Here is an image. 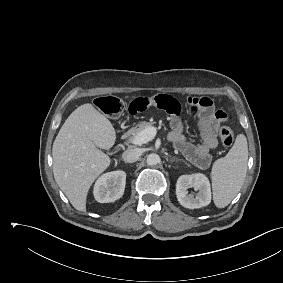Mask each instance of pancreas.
I'll return each mask as SVG.
<instances>
[{
    "label": "pancreas",
    "instance_id": "pancreas-1",
    "mask_svg": "<svg viewBox=\"0 0 283 283\" xmlns=\"http://www.w3.org/2000/svg\"><path fill=\"white\" fill-rule=\"evenodd\" d=\"M153 124L152 122H143V123H140L138 128H136L135 130H129L127 132V135L128 136H131L130 139H133L135 138L140 132H142L143 130H145L146 128L148 127H153Z\"/></svg>",
    "mask_w": 283,
    "mask_h": 283
}]
</instances>
